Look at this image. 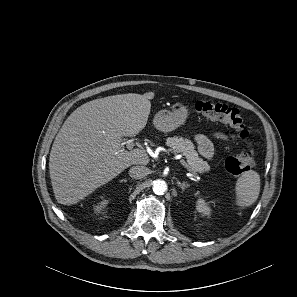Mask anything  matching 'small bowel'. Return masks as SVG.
Instances as JSON below:
<instances>
[{
    "instance_id": "1",
    "label": "small bowel",
    "mask_w": 297,
    "mask_h": 297,
    "mask_svg": "<svg viewBox=\"0 0 297 297\" xmlns=\"http://www.w3.org/2000/svg\"><path fill=\"white\" fill-rule=\"evenodd\" d=\"M227 140V136L222 132H216L212 136H207L202 133H197L195 135V141L198 144V149L200 154L205 159H210L213 156V140Z\"/></svg>"
}]
</instances>
